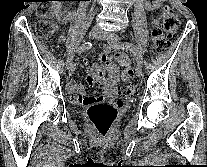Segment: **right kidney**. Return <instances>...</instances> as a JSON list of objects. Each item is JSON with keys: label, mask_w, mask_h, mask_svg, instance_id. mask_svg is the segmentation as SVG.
<instances>
[{"label": "right kidney", "mask_w": 207, "mask_h": 167, "mask_svg": "<svg viewBox=\"0 0 207 167\" xmlns=\"http://www.w3.org/2000/svg\"><path fill=\"white\" fill-rule=\"evenodd\" d=\"M62 1H54V14L58 20L61 22H67L71 20V14L63 15L62 10Z\"/></svg>", "instance_id": "1"}]
</instances>
